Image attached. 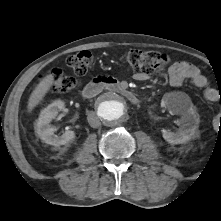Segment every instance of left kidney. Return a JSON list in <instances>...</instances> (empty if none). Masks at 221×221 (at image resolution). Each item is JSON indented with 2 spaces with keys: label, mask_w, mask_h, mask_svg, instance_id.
Returning a JSON list of instances; mask_svg holds the SVG:
<instances>
[{
  "label": "left kidney",
  "mask_w": 221,
  "mask_h": 221,
  "mask_svg": "<svg viewBox=\"0 0 221 221\" xmlns=\"http://www.w3.org/2000/svg\"><path fill=\"white\" fill-rule=\"evenodd\" d=\"M161 106L167 108L170 113L181 116L178 120V131L173 133L163 129V138L170 144L189 141L198 125L197 114L190 97L183 92L165 93L161 100Z\"/></svg>",
  "instance_id": "5707ae66"
}]
</instances>
